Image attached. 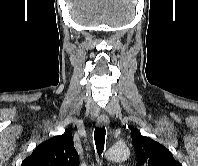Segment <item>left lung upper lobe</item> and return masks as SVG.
<instances>
[{
  "instance_id": "5c2ea615",
  "label": "left lung upper lobe",
  "mask_w": 198,
  "mask_h": 166,
  "mask_svg": "<svg viewBox=\"0 0 198 166\" xmlns=\"http://www.w3.org/2000/svg\"><path fill=\"white\" fill-rule=\"evenodd\" d=\"M131 137L137 155V166H181L166 147L142 136L139 130L134 129Z\"/></svg>"
}]
</instances>
